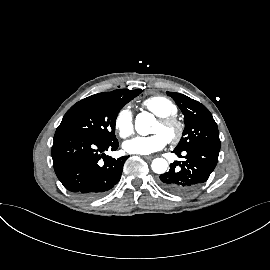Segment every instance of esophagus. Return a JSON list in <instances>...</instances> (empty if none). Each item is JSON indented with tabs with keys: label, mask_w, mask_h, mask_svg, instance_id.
Listing matches in <instances>:
<instances>
[{
	"label": "esophagus",
	"mask_w": 270,
	"mask_h": 270,
	"mask_svg": "<svg viewBox=\"0 0 270 270\" xmlns=\"http://www.w3.org/2000/svg\"><path fill=\"white\" fill-rule=\"evenodd\" d=\"M143 158L146 159V160H151V159H153L154 157H153V156H144Z\"/></svg>",
	"instance_id": "34e87169"
}]
</instances>
